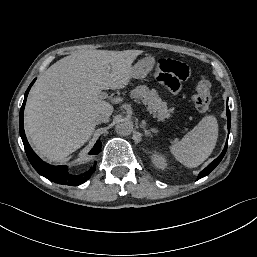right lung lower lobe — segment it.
<instances>
[{
    "label": "right lung lower lobe",
    "instance_id": "obj_1",
    "mask_svg": "<svg viewBox=\"0 0 257 257\" xmlns=\"http://www.w3.org/2000/svg\"><path fill=\"white\" fill-rule=\"evenodd\" d=\"M36 79H34L32 81V83L30 84V86L28 87L25 96H24V101L22 104V107L20 109V115H19V130H20V135L24 144V148H25V152L26 155L30 161V163L32 164V166L34 167V169L42 176H44L45 178L49 179L50 181H53L55 183L58 184H63V185H72V186H76V185H80L82 183H84L85 181H87L90 176L94 173L96 167L95 165L88 170L87 172L80 174V175H69L67 172V166H52L49 165L45 162H43L32 150V148L30 147L26 136H25V132H24V128H23V112H24V107H25V103H26V99L28 96V92L31 88V86L33 85V83L35 82ZM101 141L98 140L96 142V144L94 145V148L91 150L90 154H98L101 151Z\"/></svg>",
    "mask_w": 257,
    "mask_h": 257
}]
</instances>
